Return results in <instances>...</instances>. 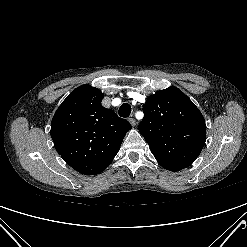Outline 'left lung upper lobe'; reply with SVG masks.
Listing matches in <instances>:
<instances>
[{
  "mask_svg": "<svg viewBox=\"0 0 247 247\" xmlns=\"http://www.w3.org/2000/svg\"><path fill=\"white\" fill-rule=\"evenodd\" d=\"M139 131L160 164L186 168L200 154L206 141L204 117L177 87L147 98Z\"/></svg>",
  "mask_w": 247,
  "mask_h": 247,
  "instance_id": "obj_1",
  "label": "left lung upper lobe"
}]
</instances>
